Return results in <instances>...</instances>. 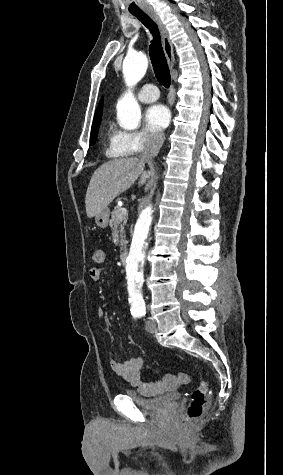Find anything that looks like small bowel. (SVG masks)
Returning a JSON list of instances; mask_svg holds the SVG:
<instances>
[{"label": "small bowel", "mask_w": 283, "mask_h": 475, "mask_svg": "<svg viewBox=\"0 0 283 475\" xmlns=\"http://www.w3.org/2000/svg\"><path fill=\"white\" fill-rule=\"evenodd\" d=\"M103 270L104 269L101 267L91 268L89 270L90 279L93 281H99L101 279ZM97 315L98 317L103 318L105 317L106 312L103 308H98ZM142 366L143 361L140 357H131L125 361H120L115 358L110 360V367L112 371L139 390L146 389V382L141 378ZM178 377L182 383H187V381L183 380L188 379L189 374L186 371H181L179 372ZM164 382L167 385H173L175 383L174 373L172 371H167L165 373Z\"/></svg>", "instance_id": "small-bowel-1"}]
</instances>
